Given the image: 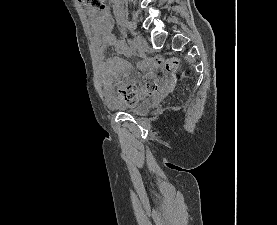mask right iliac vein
<instances>
[{
	"instance_id": "63e3f726",
	"label": "right iliac vein",
	"mask_w": 277,
	"mask_h": 225,
	"mask_svg": "<svg viewBox=\"0 0 277 225\" xmlns=\"http://www.w3.org/2000/svg\"><path fill=\"white\" fill-rule=\"evenodd\" d=\"M133 42L135 43L136 47L140 52H144L147 49V42L140 35H135Z\"/></svg>"
}]
</instances>
